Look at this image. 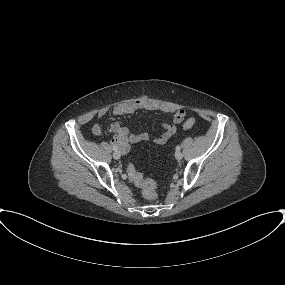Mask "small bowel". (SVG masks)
<instances>
[{"label": "small bowel", "mask_w": 285, "mask_h": 285, "mask_svg": "<svg viewBox=\"0 0 285 285\" xmlns=\"http://www.w3.org/2000/svg\"><path fill=\"white\" fill-rule=\"evenodd\" d=\"M138 110H149V111H157L159 107L147 100L143 99H133L127 102H123L115 105L111 109V113L114 116H123L127 114H132ZM182 113V118L177 119V115ZM106 114V111H101L99 113V117H103ZM185 118V112L180 110L177 111L173 123H164L162 125L163 132L159 136L153 139V142L157 145H164L176 132V124L181 123ZM103 131V127L101 124H95L92 128V133L94 135H100ZM110 132L114 134V137L111 140V143L114 146H117L122 153L126 154L130 150L131 143H140L149 140L148 133H135L132 134L128 131V129L124 126V124L120 121L114 122L110 126Z\"/></svg>", "instance_id": "obj_1"}]
</instances>
